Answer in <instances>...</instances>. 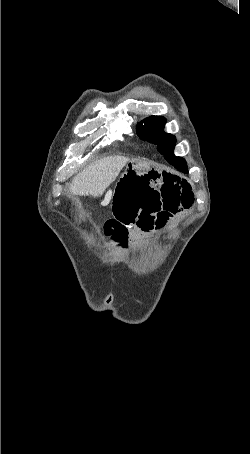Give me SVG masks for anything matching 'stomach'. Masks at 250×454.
Listing matches in <instances>:
<instances>
[{"mask_svg": "<svg viewBox=\"0 0 250 454\" xmlns=\"http://www.w3.org/2000/svg\"><path fill=\"white\" fill-rule=\"evenodd\" d=\"M121 176H157L156 171L147 165L135 161L129 162Z\"/></svg>", "mask_w": 250, "mask_h": 454, "instance_id": "stomach-1", "label": "stomach"}]
</instances>
